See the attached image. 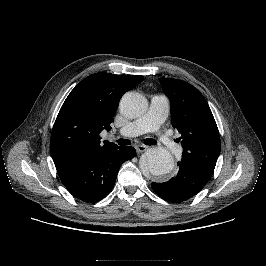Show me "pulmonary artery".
Wrapping results in <instances>:
<instances>
[{"label":"pulmonary artery","instance_id":"e3ab8cb5","mask_svg":"<svg viewBox=\"0 0 266 266\" xmlns=\"http://www.w3.org/2000/svg\"><path fill=\"white\" fill-rule=\"evenodd\" d=\"M170 112V103L164 95H153L147 112L137 120L130 122L119 130L124 137H136L146 132H154L162 141L164 148L170 153H177V144L169 135L162 133L161 125L167 119Z\"/></svg>","mask_w":266,"mask_h":266}]
</instances>
